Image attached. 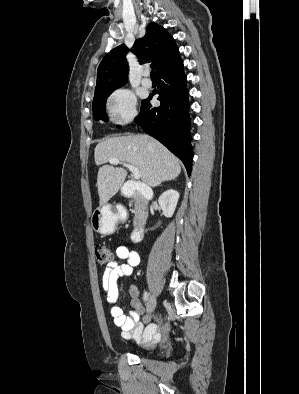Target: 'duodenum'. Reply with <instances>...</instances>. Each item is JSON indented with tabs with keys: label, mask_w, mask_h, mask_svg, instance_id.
Instances as JSON below:
<instances>
[{
	"label": "duodenum",
	"mask_w": 299,
	"mask_h": 394,
	"mask_svg": "<svg viewBox=\"0 0 299 394\" xmlns=\"http://www.w3.org/2000/svg\"><path fill=\"white\" fill-rule=\"evenodd\" d=\"M128 193L137 192L143 201H149L153 197V192L150 187L142 183H134L125 188ZM147 217L145 214H140L138 218L137 225L132 232L131 239L133 242L137 243L141 240L144 233Z\"/></svg>",
	"instance_id": "obj_1"
}]
</instances>
